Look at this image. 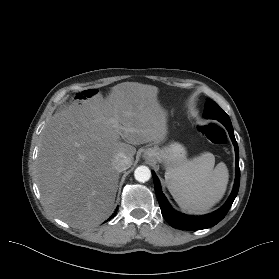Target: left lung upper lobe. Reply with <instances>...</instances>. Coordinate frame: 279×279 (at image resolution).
<instances>
[{"label":"left lung upper lobe","instance_id":"1","mask_svg":"<svg viewBox=\"0 0 279 279\" xmlns=\"http://www.w3.org/2000/svg\"><path fill=\"white\" fill-rule=\"evenodd\" d=\"M205 117L222 122H230L229 116L213 101L208 99L205 103Z\"/></svg>","mask_w":279,"mask_h":279}]
</instances>
